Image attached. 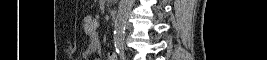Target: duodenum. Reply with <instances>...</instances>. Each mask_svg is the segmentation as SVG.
I'll return each mask as SVG.
<instances>
[{
    "mask_svg": "<svg viewBox=\"0 0 267 60\" xmlns=\"http://www.w3.org/2000/svg\"><path fill=\"white\" fill-rule=\"evenodd\" d=\"M109 15H110V17H111L112 19H116L117 16H118V12H117L116 9H111V10L109 11Z\"/></svg>",
    "mask_w": 267,
    "mask_h": 60,
    "instance_id": "410a0bca",
    "label": "duodenum"
}]
</instances>
